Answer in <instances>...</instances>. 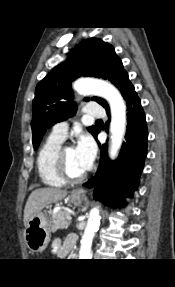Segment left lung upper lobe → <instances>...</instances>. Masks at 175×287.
<instances>
[{
    "label": "left lung upper lobe",
    "instance_id": "obj_1",
    "mask_svg": "<svg viewBox=\"0 0 175 287\" xmlns=\"http://www.w3.org/2000/svg\"><path fill=\"white\" fill-rule=\"evenodd\" d=\"M81 75L108 79L122 96L132 85L112 45L100 38L83 40L73 49L67 60L52 69L36 87L31 123L34 149H37L49 127L75 114L76 104L72 101L71 82ZM84 100L88 101L89 98ZM92 100L102 105L106 111L109 110L104 99L92 97ZM88 131L93 136L99 132L94 126L89 127Z\"/></svg>",
    "mask_w": 175,
    "mask_h": 287
}]
</instances>
